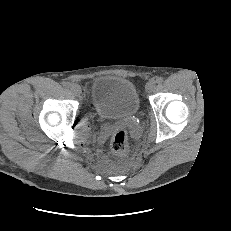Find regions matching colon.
I'll return each instance as SVG.
<instances>
[{"mask_svg":"<svg viewBox=\"0 0 231 231\" xmlns=\"http://www.w3.org/2000/svg\"><path fill=\"white\" fill-rule=\"evenodd\" d=\"M111 150L116 154H125L129 149V138L125 129L119 128L114 131L110 139Z\"/></svg>","mask_w":231,"mask_h":231,"instance_id":"colon-1","label":"colon"}]
</instances>
